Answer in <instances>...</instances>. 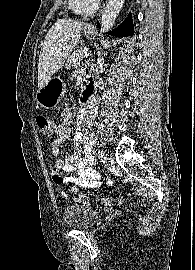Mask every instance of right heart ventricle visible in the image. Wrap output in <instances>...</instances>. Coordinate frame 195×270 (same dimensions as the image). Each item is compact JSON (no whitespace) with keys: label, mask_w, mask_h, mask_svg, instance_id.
I'll return each mask as SVG.
<instances>
[{"label":"right heart ventricle","mask_w":195,"mask_h":270,"mask_svg":"<svg viewBox=\"0 0 195 270\" xmlns=\"http://www.w3.org/2000/svg\"><path fill=\"white\" fill-rule=\"evenodd\" d=\"M69 8L77 15H87L92 13L96 6V0H68Z\"/></svg>","instance_id":"right-heart-ventricle-1"}]
</instances>
